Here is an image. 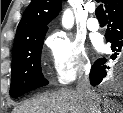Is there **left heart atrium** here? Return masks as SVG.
Here are the masks:
<instances>
[{
  "mask_svg": "<svg viewBox=\"0 0 123 113\" xmlns=\"http://www.w3.org/2000/svg\"><path fill=\"white\" fill-rule=\"evenodd\" d=\"M98 48L101 49L102 48V44L99 42L98 43Z\"/></svg>",
  "mask_w": 123,
  "mask_h": 113,
  "instance_id": "1",
  "label": "left heart atrium"
}]
</instances>
